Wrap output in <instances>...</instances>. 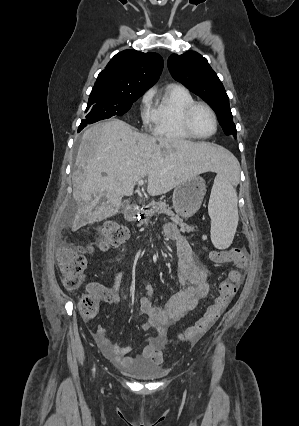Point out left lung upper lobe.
<instances>
[{
  "label": "left lung upper lobe",
  "mask_w": 299,
  "mask_h": 426,
  "mask_svg": "<svg viewBox=\"0 0 299 426\" xmlns=\"http://www.w3.org/2000/svg\"><path fill=\"white\" fill-rule=\"evenodd\" d=\"M172 77L206 101L216 112L226 135H236L229 98L208 61L199 53L172 54L167 62Z\"/></svg>",
  "instance_id": "5c2ea615"
}]
</instances>
